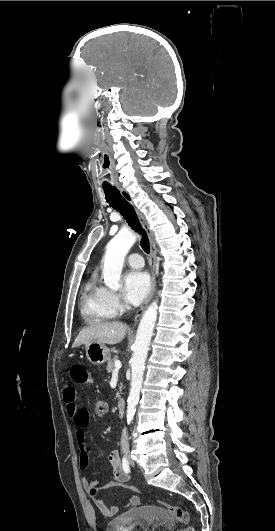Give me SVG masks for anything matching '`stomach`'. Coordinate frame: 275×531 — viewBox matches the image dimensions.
<instances>
[{"mask_svg": "<svg viewBox=\"0 0 275 531\" xmlns=\"http://www.w3.org/2000/svg\"><path fill=\"white\" fill-rule=\"evenodd\" d=\"M85 347L86 357L92 365H103V363L111 359L110 349L104 343L90 341V343H86Z\"/></svg>", "mask_w": 275, "mask_h": 531, "instance_id": "1", "label": "stomach"}]
</instances>
